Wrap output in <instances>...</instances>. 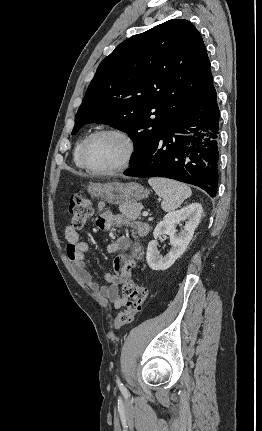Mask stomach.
<instances>
[{
  "mask_svg": "<svg viewBox=\"0 0 262 431\" xmlns=\"http://www.w3.org/2000/svg\"><path fill=\"white\" fill-rule=\"evenodd\" d=\"M87 190L91 197L100 198L110 204L131 205L147 198L149 190L136 182L90 183Z\"/></svg>",
  "mask_w": 262,
  "mask_h": 431,
  "instance_id": "obj_1",
  "label": "stomach"
}]
</instances>
